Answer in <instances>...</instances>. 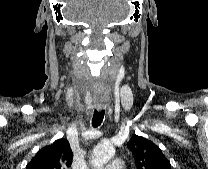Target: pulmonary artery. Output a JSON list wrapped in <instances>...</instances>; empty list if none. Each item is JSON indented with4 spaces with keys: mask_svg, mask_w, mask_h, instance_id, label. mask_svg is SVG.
I'll use <instances>...</instances> for the list:
<instances>
[{
    "mask_svg": "<svg viewBox=\"0 0 208 169\" xmlns=\"http://www.w3.org/2000/svg\"><path fill=\"white\" fill-rule=\"evenodd\" d=\"M106 169H125L124 162L121 159H113L106 166Z\"/></svg>",
    "mask_w": 208,
    "mask_h": 169,
    "instance_id": "e3ab8cb5",
    "label": "pulmonary artery"
}]
</instances>
